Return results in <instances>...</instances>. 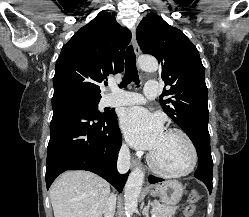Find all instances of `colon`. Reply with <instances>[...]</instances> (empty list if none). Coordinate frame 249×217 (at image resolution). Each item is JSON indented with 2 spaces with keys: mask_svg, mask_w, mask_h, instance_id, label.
<instances>
[{
  "mask_svg": "<svg viewBox=\"0 0 249 217\" xmlns=\"http://www.w3.org/2000/svg\"><path fill=\"white\" fill-rule=\"evenodd\" d=\"M199 200V194L196 191H192L188 197V205L185 207L183 214L185 217H191L195 212V204Z\"/></svg>",
  "mask_w": 249,
  "mask_h": 217,
  "instance_id": "1",
  "label": "colon"
}]
</instances>
